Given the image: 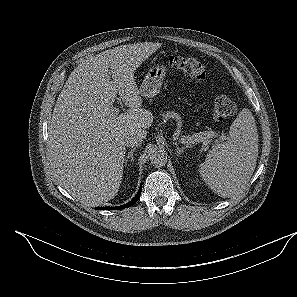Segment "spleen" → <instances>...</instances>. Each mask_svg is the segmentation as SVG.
I'll return each mask as SVG.
<instances>
[{
	"label": "spleen",
	"instance_id": "3e777b00",
	"mask_svg": "<svg viewBox=\"0 0 297 297\" xmlns=\"http://www.w3.org/2000/svg\"><path fill=\"white\" fill-rule=\"evenodd\" d=\"M258 157V133L249 109L239 112L225 142L213 147L199 165L203 181L219 196L240 194L250 181Z\"/></svg>",
	"mask_w": 297,
	"mask_h": 297
}]
</instances>
